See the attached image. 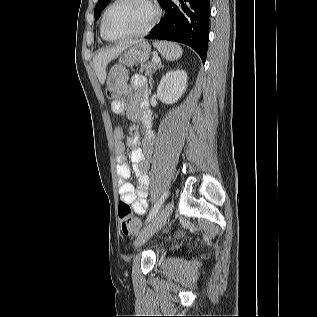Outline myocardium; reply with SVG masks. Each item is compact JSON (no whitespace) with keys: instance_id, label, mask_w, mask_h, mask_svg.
Masks as SVG:
<instances>
[{"instance_id":"myocardium-1","label":"myocardium","mask_w":317,"mask_h":317,"mask_svg":"<svg viewBox=\"0 0 317 317\" xmlns=\"http://www.w3.org/2000/svg\"><path fill=\"white\" fill-rule=\"evenodd\" d=\"M122 1L123 0H114L109 5V7L106 9V11L104 12L102 22H101V30H102V35H103L104 39H106L107 41H124V40H129V39H133V38H137V37H141L143 35H146L148 32H150L153 29V27L156 25V23L159 19L160 11H159L158 6L155 4V2L153 0H141L151 10V18H150L149 22L147 23V25L142 30L137 31V32L132 33V34H129V35H125V36H121V37H111L107 33V30H106L107 18H108V15L110 14V12L112 11V9Z\"/></svg>"}]
</instances>
